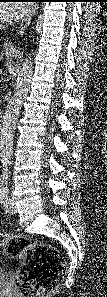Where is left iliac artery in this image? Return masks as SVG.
I'll return each instance as SVG.
<instances>
[{
	"label": "left iliac artery",
	"mask_w": 107,
	"mask_h": 297,
	"mask_svg": "<svg viewBox=\"0 0 107 297\" xmlns=\"http://www.w3.org/2000/svg\"><path fill=\"white\" fill-rule=\"evenodd\" d=\"M8 191L5 189L0 190V202L2 204H6L7 200H8V195H7Z\"/></svg>",
	"instance_id": "obj_1"
}]
</instances>
